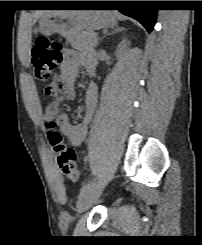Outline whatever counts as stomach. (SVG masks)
<instances>
[{
  "label": "stomach",
  "instance_id": "stomach-1",
  "mask_svg": "<svg viewBox=\"0 0 202 245\" xmlns=\"http://www.w3.org/2000/svg\"><path fill=\"white\" fill-rule=\"evenodd\" d=\"M117 24L116 17L110 11L89 10L76 13H60L47 11L39 20V31L46 36L58 33L71 39L83 30L113 28Z\"/></svg>",
  "mask_w": 202,
  "mask_h": 245
}]
</instances>
